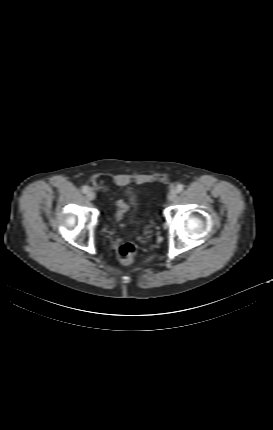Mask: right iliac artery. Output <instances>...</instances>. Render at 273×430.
I'll return each mask as SVG.
<instances>
[{
    "label": "right iliac artery",
    "mask_w": 273,
    "mask_h": 430,
    "mask_svg": "<svg viewBox=\"0 0 273 430\" xmlns=\"http://www.w3.org/2000/svg\"><path fill=\"white\" fill-rule=\"evenodd\" d=\"M89 191V188L87 186H83L82 192L87 193Z\"/></svg>",
    "instance_id": "1"
}]
</instances>
